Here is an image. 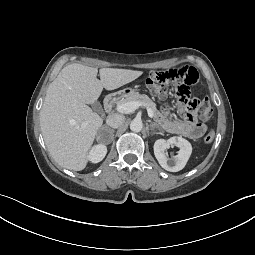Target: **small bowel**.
I'll use <instances>...</instances> for the list:
<instances>
[{
    "instance_id": "1",
    "label": "small bowel",
    "mask_w": 255,
    "mask_h": 255,
    "mask_svg": "<svg viewBox=\"0 0 255 255\" xmlns=\"http://www.w3.org/2000/svg\"><path fill=\"white\" fill-rule=\"evenodd\" d=\"M183 117L181 120H172L164 114L159 115V120L166 131L172 134L182 135L190 139H198L205 132V126L197 121L196 115L191 112L181 110Z\"/></svg>"
}]
</instances>
